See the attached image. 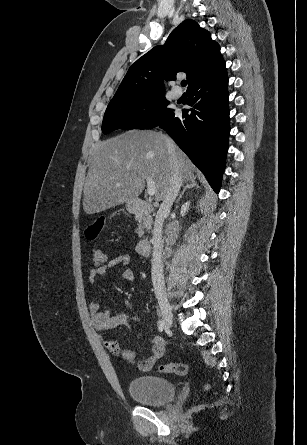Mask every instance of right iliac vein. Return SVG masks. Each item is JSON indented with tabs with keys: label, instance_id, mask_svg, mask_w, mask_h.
<instances>
[{
	"label": "right iliac vein",
	"instance_id": "1",
	"mask_svg": "<svg viewBox=\"0 0 307 445\" xmlns=\"http://www.w3.org/2000/svg\"><path fill=\"white\" fill-rule=\"evenodd\" d=\"M159 306L161 309V313H162L165 325L168 328L171 327L172 322H173L172 307L170 306L169 302L166 299H160Z\"/></svg>",
	"mask_w": 307,
	"mask_h": 445
}]
</instances>
